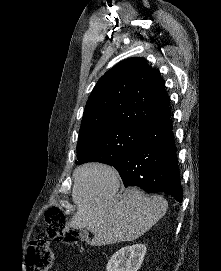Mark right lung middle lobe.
Masks as SVG:
<instances>
[{
    "label": "right lung middle lobe",
    "mask_w": 221,
    "mask_h": 271,
    "mask_svg": "<svg viewBox=\"0 0 221 271\" xmlns=\"http://www.w3.org/2000/svg\"><path fill=\"white\" fill-rule=\"evenodd\" d=\"M145 131L133 126H109L79 136L75 163L101 162L112 165L138 144Z\"/></svg>",
    "instance_id": "right-lung-middle-lobe-1"
}]
</instances>
